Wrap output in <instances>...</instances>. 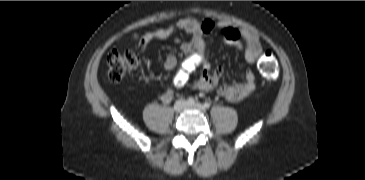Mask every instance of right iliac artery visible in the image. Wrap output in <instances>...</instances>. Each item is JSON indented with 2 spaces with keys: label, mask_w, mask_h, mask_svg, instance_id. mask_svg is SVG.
<instances>
[{
  "label": "right iliac artery",
  "mask_w": 365,
  "mask_h": 180,
  "mask_svg": "<svg viewBox=\"0 0 365 180\" xmlns=\"http://www.w3.org/2000/svg\"><path fill=\"white\" fill-rule=\"evenodd\" d=\"M187 104L188 105H194L195 104V100L190 97V98L187 99Z\"/></svg>",
  "instance_id": "obj_1"
}]
</instances>
